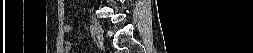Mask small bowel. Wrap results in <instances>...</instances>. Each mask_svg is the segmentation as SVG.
I'll list each match as a JSON object with an SVG mask.
<instances>
[{"mask_svg":"<svg viewBox=\"0 0 253 53\" xmlns=\"http://www.w3.org/2000/svg\"><path fill=\"white\" fill-rule=\"evenodd\" d=\"M63 30H64L65 33H69L72 30V27L70 25H65ZM65 46L67 48H70L71 44L69 42H66Z\"/></svg>","mask_w":253,"mask_h":53,"instance_id":"small-bowel-1","label":"small bowel"}]
</instances>
